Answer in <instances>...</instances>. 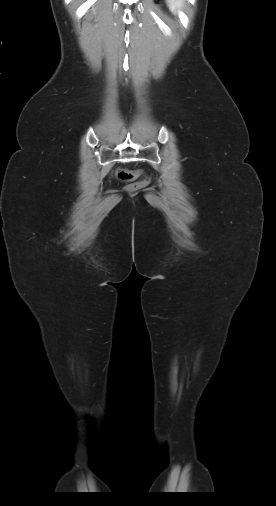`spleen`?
<instances>
[{
	"instance_id": "spleen-1",
	"label": "spleen",
	"mask_w": 276,
	"mask_h": 506,
	"mask_svg": "<svg viewBox=\"0 0 276 506\" xmlns=\"http://www.w3.org/2000/svg\"><path fill=\"white\" fill-rule=\"evenodd\" d=\"M169 8L172 12L176 13L177 10L182 9L183 0H167Z\"/></svg>"
}]
</instances>
